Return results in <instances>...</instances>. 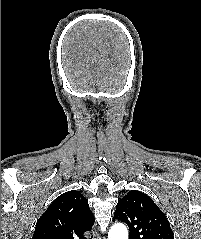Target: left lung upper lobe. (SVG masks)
Returning <instances> with one entry per match:
<instances>
[{"label": "left lung upper lobe", "mask_w": 201, "mask_h": 239, "mask_svg": "<svg viewBox=\"0 0 201 239\" xmlns=\"http://www.w3.org/2000/svg\"><path fill=\"white\" fill-rule=\"evenodd\" d=\"M114 218L128 225L129 239H174L166 216L140 191L131 190L118 201Z\"/></svg>", "instance_id": "1"}]
</instances>
